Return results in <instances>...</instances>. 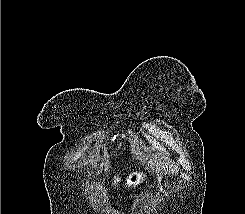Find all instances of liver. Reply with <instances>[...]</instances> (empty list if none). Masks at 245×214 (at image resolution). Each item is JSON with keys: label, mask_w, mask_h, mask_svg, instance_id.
Returning a JSON list of instances; mask_svg holds the SVG:
<instances>
[{"label": "liver", "mask_w": 245, "mask_h": 214, "mask_svg": "<svg viewBox=\"0 0 245 214\" xmlns=\"http://www.w3.org/2000/svg\"><path fill=\"white\" fill-rule=\"evenodd\" d=\"M120 181H121V178L119 176H115L113 178V185L118 186Z\"/></svg>", "instance_id": "1"}]
</instances>
